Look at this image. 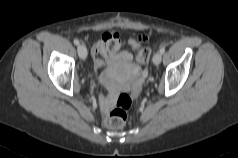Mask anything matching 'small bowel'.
I'll list each match as a JSON object with an SVG mask.
<instances>
[{
  "mask_svg": "<svg viewBox=\"0 0 238 158\" xmlns=\"http://www.w3.org/2000/svg\"><path fill=\"white\" fill-rule=\"evenodd\" d=\"M140 40H145V37H140ZM118 42L119 35L117 33H104L99 40L94 42L92 53L95 57L94 68L96 70L110 67L116 62L132 71L137 70L132 54L128 51H121ZM103 77H106V73H103ZM100 103L102 109L108 111L112 106V97H102Z\"/></svg>",
  "mask_w": 238,
  "mask_h": 158,
  "instance_id": "obj_1",
  "label": "small bowel"
}]
</instances>
